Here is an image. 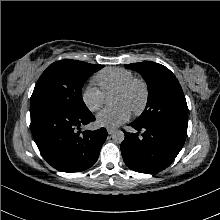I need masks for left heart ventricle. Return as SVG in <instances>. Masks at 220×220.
Segmentation results:
<instances>
[{
    "label": "left heart ventricle",
    "instance_id": "b2bd125f",
    "mask_svg": "<svg viewBox=\"0 0 220 220\" xmlns=\"http://www.w3.org/2000/svg\"><path fill=\"white\" fill-rule=\"evenodd\" d=\"M142 101V91L140 87H135L127 94H115L114 105H125L131 111L137 108Z\"/></svg>",
    "mask_w": 220,
    "mask_h": 220
}]
</instances>
